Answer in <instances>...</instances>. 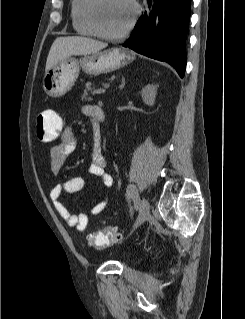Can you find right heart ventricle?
<instances>
[{
  "mask_svg": "<svg viewBox=\"0 0 245 319\" xmlns=\"http://www.w3.org/2000/svg\"><path fill=\"white\" fill-rule=\"evenodd\" d=\"M90 0H71L70 16L74 30L84 36H95L96 33L91 26L87 6Z\"/></svg>",
  "mask_w": 245,
  "mask_h": 319,
  "instance_id": "obj_1",
  "label": "right heart ventricle"
}]
</instances>
